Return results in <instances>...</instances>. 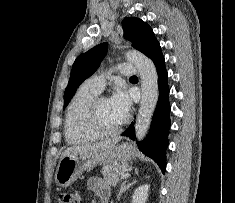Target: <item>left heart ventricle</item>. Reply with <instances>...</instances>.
Here are the masks:
<instances>
[{"label":"left heart ventricle","mask_w":235,"mask_h":203,"mask_svg":"<svg viewBox=\"0 0 235 203\" xmlns=\"http://www.w3.org/2000/svg\"><path fill=\"white\" fill-rule=\"evenodd\" d=\"M99 120L106 129H114L124 118L114 109L109 99H103L99 104Z\"/></svg>","instance_id":"left-heart-ventricle-1"}]
</instances>
